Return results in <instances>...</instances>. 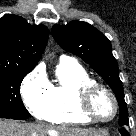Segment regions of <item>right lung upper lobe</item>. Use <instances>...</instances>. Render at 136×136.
<instances>
[{"label": "right lung upper lobe", "mask_w": 136, "mask_h": 136, "mask_svg": "<svg viewBox=\"0 0 136 136\" xmlns=\"http://www.w3.org/2000/svg\"><path fill=\"white\" fill-rule=\"evenodd\" d=\"M46 26H32L20 16L0 19V70L30 72L39 61L48 40Z\"/></svg>", "instance_id": "1"}]
</instances>
